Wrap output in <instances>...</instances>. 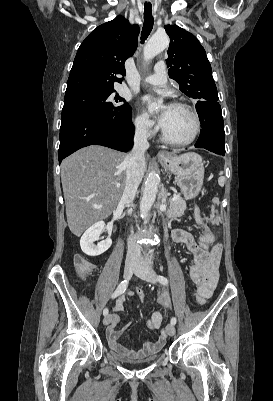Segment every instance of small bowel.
I'll return each mask as SVG.
<instances>
[{
  "mask_svg": "<svg viewBox=\"0 0 273 401\" xmlns=\"http://www.w3.org/2000/svg\"><path fill=\"white\" fill-rule=\"evenodd\" d=\"M199 223L204 224L207 221L206 216L201 215L198 218ZM211 224H218L220 218L218 215H211L209 218ZM173 235L178 237L179 241L187 247L193 254L194 262L189 271H204L208 276L207 284H195L196 286V299L198 304L202 305L208 298L211 297L217 287L219 273L218 266L222 255V245L217 243L216 234L206 228L205 233L196 240L192 234L185 231L184 228H175ZM134 294H139L136 290ZM94 299H97L98 304H109V295H103L101 290H94L92 293ZM124 310L122 302L117 303L113 308L111 321L107 328V338L110 347L122 355H136L139 357L149 356L156 354L164 345L167 335L164 332L159 333L158 340L148 342L142 350L138 352H129L120 343V338L124 335L128 326H121L120 312ZM163 321V314L161 311H155L152 317L148 320L147 326L153 331L161 329Z\"/></svg>",
  "mask_w": 273,
  "mask_h": 401,
  "instance_id": "1",
  "label": "small bowel"
}]
</instances>
